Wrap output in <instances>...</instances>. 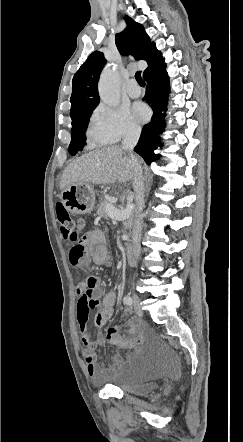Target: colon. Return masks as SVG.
<instances>
[{"label": "colon", "instance_id": "1", "mask_svg": "<svg viewBox=\"0 0 243 442\" xmlns=\"http://www.w3.org/2000/svg\"><path fill=\"white\" fill-rule=\"evenodd\" d=\"M55 210L65 240L74 244L69 252V258L74 263H78L85 257V244L80 236L84 222L82 219H74L67 207L61 202L56 204Z\"/></svg>", "mask_w": 243, "mask_h": 442}]
</instances>
